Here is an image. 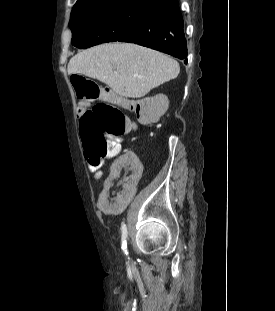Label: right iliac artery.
Returning a JSON list of instances; mask_svg holds the SVG:
<instances>
[{
  "instance_id": "82829eb1",
  "label": "right iliac artery",
  "mask_w": 275,
  "mask_h": 311,
  "mask_svg": "<svg viewBox=\"0 0 275 311\" xmlns=\"http://www.w3.org/2000/svg\"><path fill=\"white\" fill-rule=\"evenodd\" d=\"M121 232H122V246H121V248H122V250L124 251V253L126 254V255H128V251H127V234H128V232H127V227H126V225L125 224H122V226H121Z\"/></svg>"
}]
</instances>
